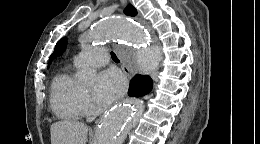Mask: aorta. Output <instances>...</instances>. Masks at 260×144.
Returning <instances> with one entry per match:
<instances>
[{
	"label": "aorta",
	"mask_w": 260,
	"mask_h": 144,
	"mask_svg": "<svg viewBox=\"0 0 260 144\" xmlns=\"http://www.w3.org/2000/svg\"><path fill=\"white\" fill-rule=\"evenodd\" d=\"M122 41L129 47L120 53L122 60L128 64H137L143 71L151 72L158 66L154 57L137 58L134 50L156 52L145 29L133 19L109 18L99 21L94 28L83 34L81 45L89 48L93 43ZM80 80L92 85L95 71L85 69L79 76ZM144 109L140 99H127L112 108L101 121L96 133L95 144H123L127 134L138 123Z\"/></svg>",
	"instance_id": "1"
}]
</instances>
